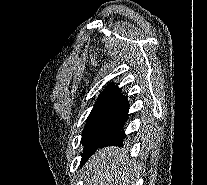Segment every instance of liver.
<instances>
[{"label":"liver","mask_w":207,"mask_h":185,"mask_svg":"<svg viewBox=\"0 0 207 185\" xmlns=\"http://www.w3.org/2000/svg\"><path fill=\"white\" fill-rule=\"evenodd\" d=\"M84 175L86 185H136L138 175L134 159L119 147L99 149L91 157Z\"/></svg>","instance_id":"obj_1"}]
</instances>
